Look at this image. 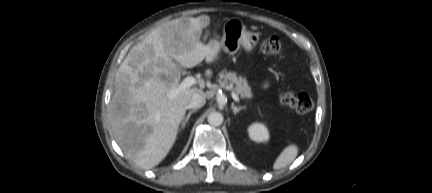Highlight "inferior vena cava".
<instances>
[{
    "mask_svg": "<svg viewBox=\"0 0 432 193\" xmlns=\"http://www.w3.org/2000/svg\"><path fill=\"white\" fill-rule=\"evenodd\" d=\"M205 103H206V99H205L204 94H202V93H195L191 97V100H190V103H189V107L197 109V108L203 107L205 105Z\"/></svg>",
    "mask_w": 432,
    "mask_h": 193,
    "instance_id": "1",
    "label": "inferior vena cava"
}]
</instances>
